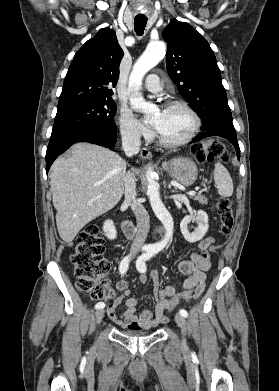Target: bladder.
Masks as SVG:
<instances>
[{"instance_id":"31cf9c89","label":"bladder","mask_w":279,"mask_h":391,"mask_svg":"<svg viewBox=\"0 0 279 391\" xmlns=\"http://www.w3.org/2000/svg\"><path fill=\"white\" fill-rule=\"evenodd\" d=\"M122 334L126 337H131V338H139L147 335V333L137 332L134 330L122 331Z\"/></svg>"}]
</instances>
